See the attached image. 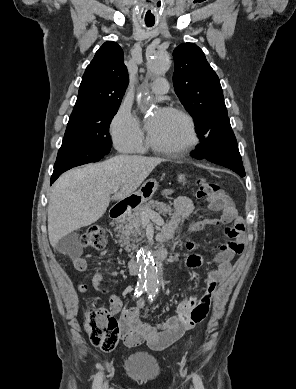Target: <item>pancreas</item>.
<instances>
[{
    "label": "pancreas",
    "mask_w": 296,
    "mask_h": 389,
    "mask_svg": "<svg viewBox=\"0 0 296 389\" xmlns=\"http://www.w3.org/2000/svg\"><path fill=\"white\" fill-rule=\"evenodd\" d=\"M144 210H150L157 215L166 216L172 214L170 206L159 201H149L144 205L137 207L133 212L127 213L121 219L116 222L115 231H117V237L121 245L125 247L126 251H130L132 248L133 237L141 233L142 226V212Z\"/></svg>",
    "instance_id": "1"
}]
</instances>
